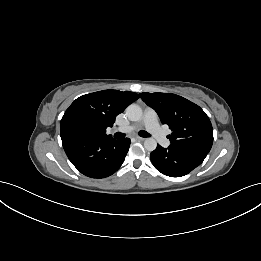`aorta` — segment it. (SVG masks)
<instances>
[{"label":"aorta","mask_w":261,"mask_h":261,"mask_svg":"<svg viewBox=\"0 0 261 261\" xmlns=\"http://www.w3.org/2000/svg\"><path fill=\"white\" fill-rule=\"evenodd\" d=\"M143 112L140 106L131 104L126 108V116L130 121H139L142 118ZM144 147L148 151H153L157 147V142L154 138L149 137L144 141Z\"/></svg>","instance_id":"obj_1"}]
</instances>
